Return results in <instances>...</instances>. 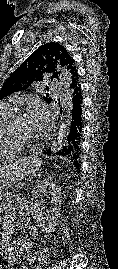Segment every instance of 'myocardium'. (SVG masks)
Instances as JSON below:
<instances>
[{
  "label": "myocardium",
  "mask_w": 118,
  "mask_h": 269,
  "mask_svg": "<svg viewBox=\"0 0 118 269\" xmlns=\"http://www.w3.org/2000/svg\"><path fill=\"white\" fill-rule=\"evenodd\" d=\"M22 116H24V113L21 111H16L12 113L4 126L7 139L11 143L17 144L20 147H23L26 145H33L30 141L20 138L14 133V125L17 122V120L20 119Z\"/></svg>",
  "instance_id": "obj_1"
}]
</instances>
